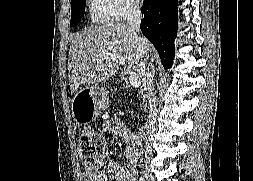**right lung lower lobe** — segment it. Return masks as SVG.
I'll return each instance as SVG.
<instances>
[{
  "label": "right lung lower lobe",
  "instance_id": "1",
  "mask_svg": "<svg viewBox=\"0 0 253 181\" xmlns=\"http://www.w3.org/2000/svg\"><path fill=\"white\" fill-rule=\"evenodd\" d=\"M142 33L157 49L165 68L173 64L174 39L177 33V0H144L141 7Z\"/></svg>",
  "mask_w": 253,
  "mask_h": 181
}]
</instances>
